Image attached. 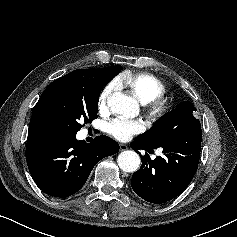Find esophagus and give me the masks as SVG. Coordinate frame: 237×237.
Listing matches in <instances>:
<instances>
[{
	"label": "esophagus",
	"instance_id": "esophagus-1",
	"mask_svg": "<svg viewBox=\"0 0 237 237\" xmlns=\"http://www.w3.org/2000/svg\"><path fill=\"white\" fill-rule=\"evenodd\" d=\"M119 147H120V151H124L128 149L127 145L125 144H119Z\"/></svg>",
	"mask_w": 237,
	"mask_h": 237
}]
</instances>
